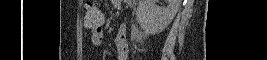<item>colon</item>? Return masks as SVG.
<instances>
[{
	"label": "colon",
	"mask_w": 267,
	"mask_h": 60,
	"mask_svg": "<svg viewBox=\"0 0 267 60\" xmlns=\"http://www.w3.org/2000/svg\"><path fill=\"white\" fill-rule=\"evenodd\" d=\"M102 11L100 7L91 3L85 11V24L88 27L98 28L102 24Z\"/></svg>",
	"instance_id": "colon-1"
}]
</instances>
